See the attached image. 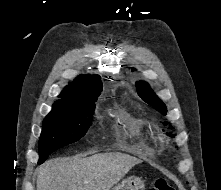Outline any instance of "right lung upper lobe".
<instances>
[{
  "label": "right lung upper lobe",
  "instance_id": "1",
  "mask_svg": "<svg viewBox=\"0 0 221 190\" xmlns=\"http://www.w3.org/2000/svg\"><path fill=\"white\" fill-rule=\"evenodd\" d=\"M102 91V81L99 75H80L74 82L64 88L53 104V109L73 108L81 103L97 100Z\"/></svg>",
  "mask_w": 221,
  "mask_h": 190
}]
</instances>
